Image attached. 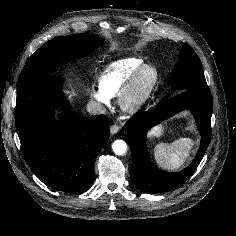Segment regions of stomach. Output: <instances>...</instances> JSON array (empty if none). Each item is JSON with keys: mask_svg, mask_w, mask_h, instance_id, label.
Returning <instances> with one entry per match:
<instances>
[{"mask_svg": "<svg viewBox=\"0 0 236 236\" xmlns=\"http://www.w3.org/2000/svg\"><path fill=\"white\" fill-rule=\"evenodd\" d=\"M164 134V127L163 125H156L151 130L149 137L150 139L158 138Z\"/></svg>", "mask_w": 236, "mask_h": 236, "instance_id": "stomach-1", "label": "stomach"}]
</instances>
